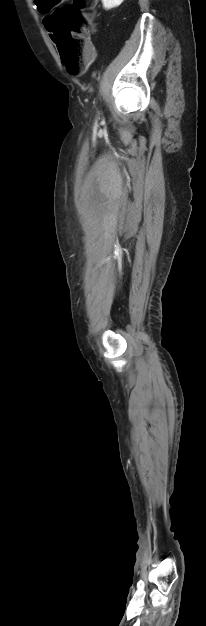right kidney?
<instances>
[{"label":"right kidney","mask_w":206,"mask_h":626,"mask_svg":"<svg viewBox=\"0 0 206 626\" xmlns=\"http://www.w3.org/2000/svg\"><path fill=\"white\" fill-rule=\"evenodd\" d=\"M124 0H102L103 7L106 10L118 7Z\"/></svg>","instance_id":"obj_1"}]
</instances>
